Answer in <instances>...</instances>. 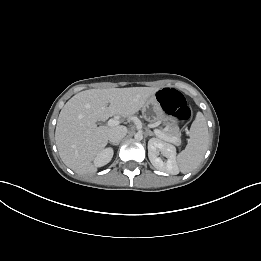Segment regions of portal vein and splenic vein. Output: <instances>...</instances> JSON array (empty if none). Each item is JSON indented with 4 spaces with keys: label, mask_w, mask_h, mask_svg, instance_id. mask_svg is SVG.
<instances>
[{
    "label": "portal vein and splenic vein",
    "mask_w": 261,
    "mask_h": 261,
    "mask_svg": "<svg viewBox=\"0 0 261 261\" xmlns=\"http://www.w3.org/2000/svg\"><path fill=\"white\" fill-rule=\"evenodd\" d=\"M118 124H119V121H118V119H116V118L110 119V120L108 121V126H110V127L117 126ZM155 134H156L159 138H161V139H163V140H166V141L173 142V141L175 140V138L166 137L160 130H157V129L155 130Z\"/></svg>",
    "instance_id": "obj_1"
}]
</instances>
